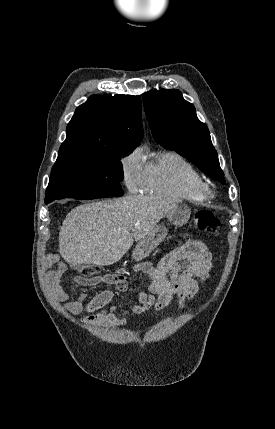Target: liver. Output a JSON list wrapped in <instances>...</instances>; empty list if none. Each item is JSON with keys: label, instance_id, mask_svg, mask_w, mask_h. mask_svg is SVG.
<instances>
[{"label": "liver", "instance_id": "liver-1", "mask_svg": "<svg viewBox=\"0 0 275 429\" xmlns=\"http://www.w3.org/2000/svg\"><path fill=\"white\" fill-rule=\"evenodd\" d=\"M171 199L125 196L77 206L63 221L59 252L72 266L112 265L176 207ZM130 230L132 231L130 233Z\"/></svg>", "mask_w": 275, "mask_h": 429}]
</instances>
